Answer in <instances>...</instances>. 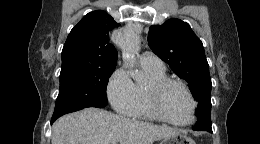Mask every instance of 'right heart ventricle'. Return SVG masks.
Returning <instances> with one entry per match:
<instances>
[{
  "mask_svg": "<svg viewBox=\"0 0 260 144\" xmlns=\"http://www.w3.org/2000/svg\"><path fill=\"white\" fill-rule=\"evenodd\" d=\"M143 68L147 72L150 78V83L155 80H161L167 78L164 70L158 71L144 66ZM149 84L148 85L139 84V83L134 84L135 100L130 112L128 113L129 117L146 119V120L156 119V117L151 112L147 102V88Z\"/></svg>",
  "mask_w": 260,
  "mask_h": 144,
  "instance_id": "1",
  "label": "right heart ventricle"
}]
</instances>
